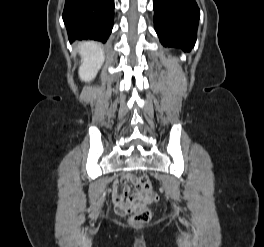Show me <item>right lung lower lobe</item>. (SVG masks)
<instances>
[{
  "label": "right lung lower lobe",
  "mask_w": 264,
  "mask_h": 247,
  "mask_svg": "<svg viewBox=\"0 0 264 247\" xmlns=\"http://www.w3.org/2000/svg\"><path fill=\"white\" fill-rule=\"evenodd\" d=\"M63 20L70 42H106L114 21V0H66Z\"/></svg>",
  "instance_id": "obj_1"
}]
</instances>
